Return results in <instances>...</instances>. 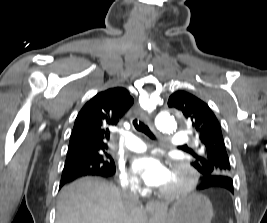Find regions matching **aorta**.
<instances>
[{"mask_svg":"<svg viewBox=\"0 0 267 223\" xmlns=\"http://www.w3.org/2000/svg\"><path fill=\"white\" fill-rule=\"evenodd\" d=\"M157 128L164 133H173L177 129V121L173 115H162L156 119ZM157 219L153 218L151 223H156Z\"/></svg>","mask_w":267,"mask_h":223,"instance_id":"762f6f07","label":"aorta"}]
</instances>
